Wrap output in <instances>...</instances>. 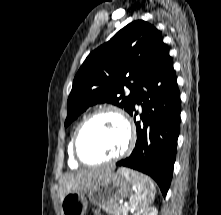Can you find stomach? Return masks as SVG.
Listing matches in <instances>:
<instances>
[{
	"instance_id": "1",
	"label": "stomach",
	"mask_w": 221,
	"mask_h": 215,
	"mask_svg": "<svg viewBox=\"0 0 221 215\" xmlns=\"http://www.w3.org/2000/svg\"><path fill=\"white\" fill-rule=\"evenodd\" d=\"M143 178L144 175L128 169L111 172L89 190L66 194L61 200V214L84 215L89 202L100 207L116 204L128 196L135 180L142 182Z\"/></svg>"
}]
</instances>
